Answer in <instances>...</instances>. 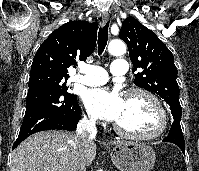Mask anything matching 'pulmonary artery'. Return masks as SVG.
Instances as JSON below:
<instances>
[{
  "instance_id": "1",
  "label": "pulmonary artery",
  "mask_w": 199,
  "mask_h": 171,
  "mask_svg": "<svg viewBox=\"0 0 199 171\" xmlns=\"http://www.w3.org/2000/svg\"><path fill=\"white\" fill-rule=\"evenodd\" d=\"M127 71V63L123 59H116L110 66V72L114 76H122ZM76 82L87 86H96L104 84L108 80L107 72L95 65H83L80 67V73L74 77Z\"/></svg>"
}]
</instances>
